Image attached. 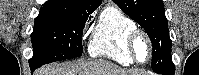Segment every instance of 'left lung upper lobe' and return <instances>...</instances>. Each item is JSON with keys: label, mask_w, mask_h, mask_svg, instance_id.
Listing matches in <instances>:
<instances>
[{"label": "left lung upper lobe", "mask_w": 199, "mask_h": 75, "mask_svg": "<svg viewBox=\"0 0 199 75\" xmlns=\"http://www.w3.org/2000/svg\"><path fill=\"white\" fill-rule=\"evenodd\" d=\"M124 13L142 26L153 46L151 67L154 72L166 71L174 66L171 56L172 42L162 0H113Z\"/></svg>", "instance_id": "left-lung-upper-lobe-1"}]
</instances>
